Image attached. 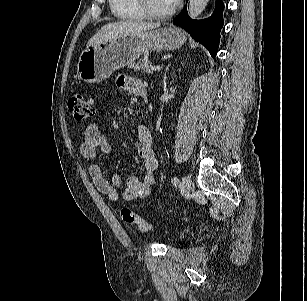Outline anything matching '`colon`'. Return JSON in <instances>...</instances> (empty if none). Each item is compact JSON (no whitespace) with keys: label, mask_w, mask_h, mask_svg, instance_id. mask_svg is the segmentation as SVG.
<instances>
[{"label":"colon","mask_w":307,"mask_h":301,"mask_svg":"<svg viewBox=\"0 0 307 301\" xmlns=\"http://www.w3.org/2000/svg\"><path fill=\"white\" fill-rule=\"evenodd\" d=\"M68 107L73 114V117L78 122H85L91 119L95 113V101L83 93H75L68 100ZM122 220L141 232H148L151 230V224L139 217L129 209L121 210Z\"/></svg>","instance_id":"colon-1"}]
</instances>
